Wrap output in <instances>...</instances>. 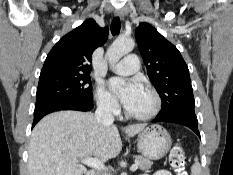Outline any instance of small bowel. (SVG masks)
<instances>
[{"label":"small bowel","mask_w":233,"mask_h":175,"mask_svg":"<svg viewBox=\"0 0 233 175\" xmlns=\"http://www.w3.org/2000/svg\"><path fill=\"white\" fill-rule=\"evenodd\" d=\"M140 175H149V174H140ZM154 175H173L168 170H159Z\"/></svg>","instance_id":"c3829d8e"}]
</instances>
